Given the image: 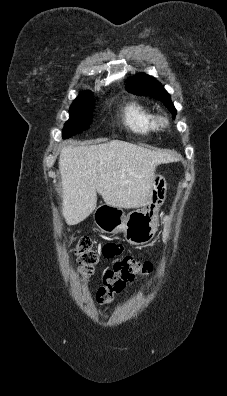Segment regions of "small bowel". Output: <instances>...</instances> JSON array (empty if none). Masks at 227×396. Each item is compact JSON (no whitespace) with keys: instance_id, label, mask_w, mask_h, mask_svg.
I'll list each match as a JSON object with an SVG mask.
<instances>
[{"instance_id":"small-bowel-1","label":"small bowel","mask_w":227,"mask_h":396,"mask_svg":"<svg viewBox=\"0 0 227 396\" xmlns=\"http://www.w3.org/2000/svg\"><path fill=\"white\" fill-rule=\"evenodd\" d=\"M165 242H168V236L165 237ZM122 251V247L119 244L116 243H108L106 245H104V247L102 248V254L107 257V258H111L115 255L120 254Z\"/></svg>"}]
</instances>
